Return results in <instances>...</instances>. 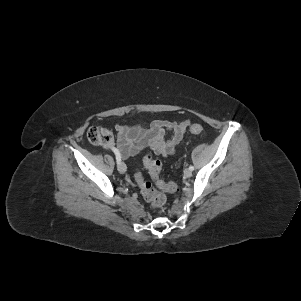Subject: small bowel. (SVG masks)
Listing matches in <instances>:
<instances>
[{
    "label": "small bowel",
    "instance_id": "c3829d8e",
    "mask_svg": "<svg viewBox=\"0 0 301 301\" xmlns=\"http://www.w3.org/2000/svg\"><path fill=\"white\" fill-rule=\"evenodd\" d=\"M188 125V120H156L148 126L117 125L116 145L110 149L116 148L124 159L134 156L142 148H148L156 155L169 156L182 143ZM168 132L170 137H167Z\"/></svg>",
    "mask_w": 301,
    "mask_h": 301
}]
</instances>
